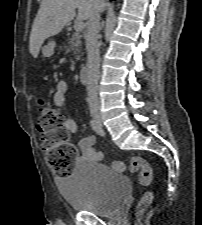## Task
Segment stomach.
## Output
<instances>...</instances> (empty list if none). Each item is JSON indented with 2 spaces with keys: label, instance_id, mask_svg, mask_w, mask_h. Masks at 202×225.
<instances>
[{
  "label": "stomach",
  "instance_id": "0dacf381",
  "mask_svg": "<svg viewBox=\"0 0 202 225\" xmlns=\"http://www.w3.org/2000/svg\"><path fill=\"white\" fill-rule=\"evenodd\" d=\"M55 43L49 42L42 48V54L44 57H50L54 54Z\"/></svg>",
  "mask_w": 202,
  "mask_h": 225
}]
</instances>
